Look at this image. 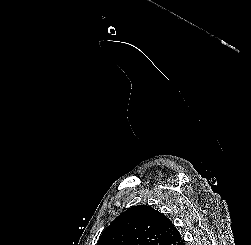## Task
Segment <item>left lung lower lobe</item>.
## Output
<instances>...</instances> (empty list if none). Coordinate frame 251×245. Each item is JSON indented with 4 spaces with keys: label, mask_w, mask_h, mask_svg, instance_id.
<instances>
[{
    "label": "left lung lower lobe",
    "mask_w": 251,
    "mask_h": 245,
    "mask_svg": "<svg viewBox=\"0 0 251 245\" xmlns=\"http://www.w3.org/2000/svg\"><path fill=\"white\" fill-rule=\"evenodd\" d=\"M179 245H185V244H184V242H183V241H181V242L179 243Z\"/></svg>",
    "instance_id": "1"
}]
</instances>
